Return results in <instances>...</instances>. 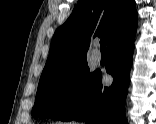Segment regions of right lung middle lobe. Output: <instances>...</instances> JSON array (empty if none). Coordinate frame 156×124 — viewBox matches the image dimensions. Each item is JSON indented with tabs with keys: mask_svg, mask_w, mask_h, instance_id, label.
<instances>
[{
	"mask_svg": "<svg viewBox=\"0 0 156 124\" xmlns=\"http://www.w3.org/2000/svg\"><path fill=\"white\" fill-rule=\"evenodd\" d=\"M98 72H90L84 62L40 79L32 116L60 120L81 102Z\"/></svg>",
	"mask_w": 156,
	"mask_h": 124,
	"instance_id": "right-lung-middle-lobe-1",
	"label": "right lung middle lobe"
}]
</instances>
